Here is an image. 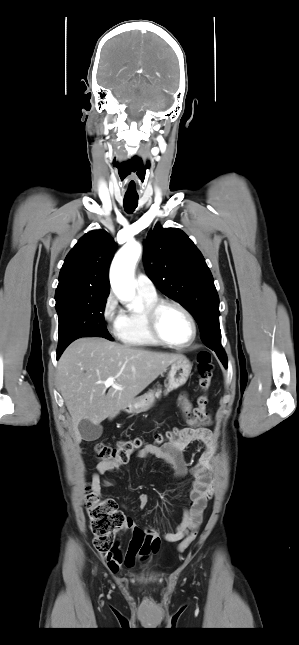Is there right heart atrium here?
Masks as SVG:
<instances>
[{
  "label": "right heart atrium",
  "instance_id": "1",
  "mask_svg": "<svg viewBox=\"0 0 299 645\" xmlns=\"http://www.w3.org/2000/svg\"><path fill=\"white\" fill-rule=\"evenodd\" d=\"M101 314L108 331L113 335H117L121 326L122 313L113 293H109L105 298Z\"/></svg>",
  "mask_w": 299,
  "mask_h": 645
}]
</instances>
